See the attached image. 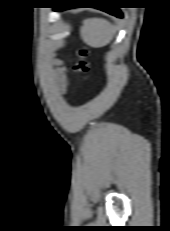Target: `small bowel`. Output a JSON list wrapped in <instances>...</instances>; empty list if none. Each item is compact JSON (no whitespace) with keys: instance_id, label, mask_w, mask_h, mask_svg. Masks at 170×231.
I'll return each instance as SVG.
<instances>
[{"instance_id":"obj_1","label":"small bowel","mask_w":170,"mask_h":231,"mask_svg":"<svg viewBox=\"0 0 170 231\" xmlns=\"http://www.w3.org/2000/svg\"><path fill=\"white\" fill-rule=\"evenodd\" d=\"M61 84L63 86H65V84H66V80H65V76L64 75L61 76Z\"/></svg>"}]
</instances>
